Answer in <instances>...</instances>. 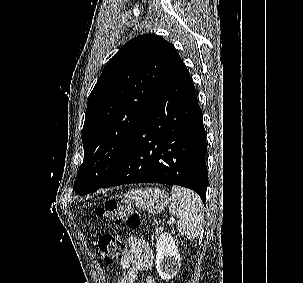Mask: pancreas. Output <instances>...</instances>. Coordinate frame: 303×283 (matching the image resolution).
Instances as JSON below:
<instances>
[{
    "label": "pancreas",
    "instance_id": "pancreas-1",
    "mask_svg": "<svg viewBox=\"0 0 303 283\" xmlns=\"http://www.w3.org/2000/svg\"><path fill=\"white\" fill-rule=\"evenodd\" d=\"M163 231V228L162 227H159V228H156V233L159 234L160 232Z\"/></svg>",
    "mask_w": 303,
    "mask_h": 283
}]
</instances>
